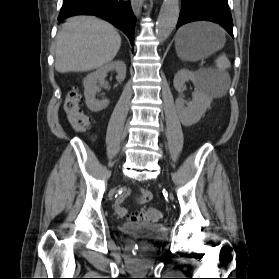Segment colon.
I'll list each match as a JSON object with an SVG mask.
<instances>
[{"mask_svg": "<svg viewBox=\"0 0 279 279\" xmlns=\"http://www.w3.org/2000/svg\"><path fill=\"white\" fill-rule=\"evenodd\" d=\"M82 96L77 87H71L67 92L64 109L67 119L72 128L77 132H85L90 126V118L84 112L82 106ZM162 216L159 209L155 207L143 208L139 211L132 212L129 215V220L145 221V222H156Z\"/></svg>", "mask_w": 279, "mask_h": 279, "instance_id": "obj_1", "label": "colon"}]
</instances>
